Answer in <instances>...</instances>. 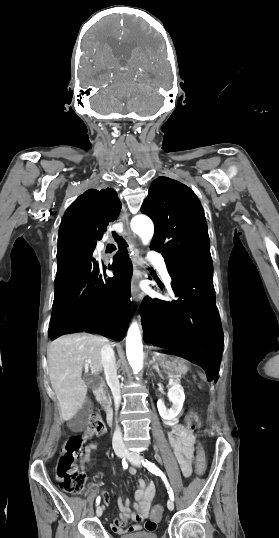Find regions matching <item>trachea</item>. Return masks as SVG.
<instances>
[{"label": "trachea", "instance_id": "3493384b", "mask_svg": "<svg viewBox=\"0 0 279 538\" xmlns=\"http://www.w3.org/2000/svg\"><path fill=\"white\" fill-rule=\"evenodd\" d=\"M109 247H112V248H114V249H115V245H113V244L109 245Z\"/></svg>", "mask_w": 279, "mask_h": 538}]
</instances>
